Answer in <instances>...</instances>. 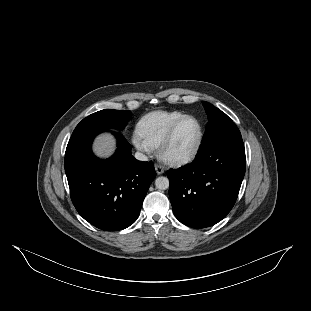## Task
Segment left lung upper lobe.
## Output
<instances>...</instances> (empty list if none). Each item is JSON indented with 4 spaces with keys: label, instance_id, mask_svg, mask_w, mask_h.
Returning <instances> with one entry per match:
<instances>
[{
    "label": "left lung upper lobe",
    "instance_id": "5c2ea615",
    "mask_svg": "<svg viewBox=\"0 0 311 311\" xmlns=\"http://www.w3.org/2000/svg\"><path fill=\"white\" fill-rule=\"evenodd\" d=\"M203 106L208 115V123L199 150L225 137L241 135L237 126L224 112L205 101Z\"/></svg>",
    "mask_w": 311,
    "mask_h": 311
}]
</instances>
